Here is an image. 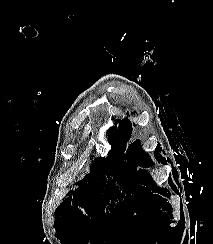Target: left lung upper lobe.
Instances as JSON below:
<instances>
[{"instance_id":"5c2ea615","label":"left lung upper lobe","mask_w":213,"mask_h":244,"mask_svg":"<svg viewBox=\"0 0 213 244\" xmlns=\"http://www.w3.org/2000/svg\"><path fill=\"white\" fill-rule=\"evenodd\" d=\"M131 133H132L131 122L128 119L119 120L118 134L122 135V137L125 139H129ZM139 144H140V142H139V140H137V142H134L130 145V148L134 149V153L139 158V163L142 166H151L153 163V160L144 150L141 149V144H140V148H139ZM154 155H155V153H154ZM156 159H157V157H156Z\"/></svg>"}]
</instances>
